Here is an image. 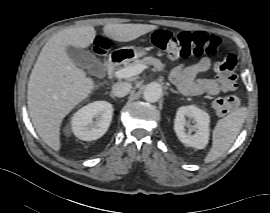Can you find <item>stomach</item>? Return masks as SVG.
Instances as JSON below:
<instances>
[{
	"mask_svg": "<svg viewBox=\"0 0 270 213\" xmlns=\"http://www.w3.org/2000/svg\"><path fill=\"white\" fill-rule=\"evenodd\" d=\"M126 60H133L142 57L147 54V51L142 48H135L133 46L123 47L118 49Z\"/></svg>",
	"mask_w": 270,
	"mask_h": 213,
	"instance_id": "0dacf381",
	"label": "stomach"
}]
</instances>
